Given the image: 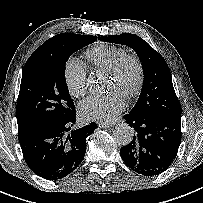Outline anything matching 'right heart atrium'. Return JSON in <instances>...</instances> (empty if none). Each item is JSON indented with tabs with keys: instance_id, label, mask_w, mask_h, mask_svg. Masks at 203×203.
Wrapping results in <instances>:
<instances>
[{
	"instance_id": "1",
	"label": "right heart atrium",
	"mask_w": 203,
	"mask_h": 203,
	"mask_svg": "<svg viewBox=\"0 0 203 203\" xmlns=\"http://www.w3.org/2000/svg\"><path fill=\"white\" fill-rule=\"evenodd\" d=\"M64 82L71 96L81 97L87 89L85 65L76 58H69L64 67Z\"/></svg>"
}]
</instances>
